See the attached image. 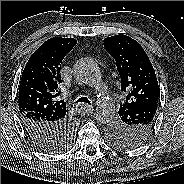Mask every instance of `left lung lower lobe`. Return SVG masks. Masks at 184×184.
I'll return each instance as SVG.
<instances>
[{
  "label": "left lung lower lobe",
  "instance_id": "left-lung-lower-lobe-1",
  "mask_svg": "<svg viewBox=\"0 0 184 184\" xmlns=\"http://www.w3.org/2000/svg\"><path fill=\"white\" fill-rule=\"evenodd\" d=\"M153 106H155V105H157V102L156 101H153V104H152Z\"/></svg>",
  "mask_w": 184,
  "mask_h": 184
}]
</instances>
